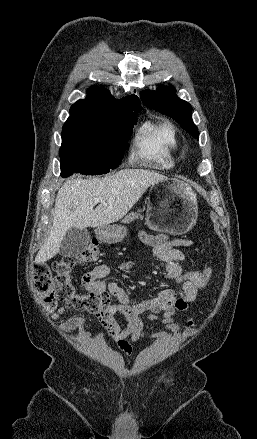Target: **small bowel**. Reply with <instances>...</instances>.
<instances>
[{
    "label": "small bowel",
    "instance_id": "small-bowel-1",
    "mask_svg": "<svg viewBox=\"0 0 257 439\" xmlns=\"http://www.w3.org/2000/svg\"><path fill=\"white\" fill-rule=\"evenodd\" d=\"M140 239L144 244L154 248L155 255L166 273V279L176 281L183 275L184 270L180 263L185 261V255L179 248L191 246L193 244L191 240L144 231L140 233ZM118 268L121 271H130L132 265L122 263ZM109 275L110 268L105 264H100L83 276L82 285L89 291L101 292L107 288L110 293L118 295L119 302L110 305L104 313L96 314V317L118 348L126 355L132 353L133 344L138 343L141 338L150 336L165 344L171 335L177 334L180 327L173 319V315L176 311H186L189 304L196 299L199 289L189 283H184L181 295H177L172 289H165L154 298L132 303L130 297L122 291L117 282H105V278ZM64 311V308H60L53 314V318L57 319ZM159 314L162 315L158 316ZM119 318L126 320L125 326L120 324ZM152 320H159L166 330L147 332L144 323ZM82 321L81 317L70 318L63 323V330L71 332L79 327ZM188 325L189 327L184 330L181 337L182 342L194 334L192 321L189 320Z\"/></svg>",
    "mask_w": 257,
    "mask_h": 439
}]
</instances>
